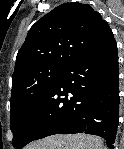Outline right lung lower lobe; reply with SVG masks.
Instances as JSON below:
<instances>
[{
	"label": "right lung lower lobe",
	"mask_w": 124,
	"mask_h": 149,
	"mask_svg": "<svg viewBox=\"0 0 124 149\" xmlns=\"http://www.w3.org/2000/svg\"><path fill=\"white\" fill-rule=\"evenodd\" d=\"M116 41L66 65L24 130L16 149L54 134L97 135L114 148L119 122Z\"/></svg>",
	"instance_id": "right-lung-lower-lobe-1"
}]
</instances>
